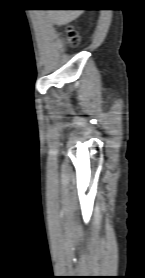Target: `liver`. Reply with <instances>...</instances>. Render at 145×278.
<instances>
[{"label":"liver","instance_id":"obj_1","mask_svg":"<svg viewBox=\"0 0 145 278\" xmlns=\"http://www.w3.org/2000/svg\"><path fill=\"white\" fill-rule=\"evenodd\" d=\"M82 12V10H48L46 16L57 26H62L78 18Z\"/></svg>","mask_w":145,"mask_h":278}]
</instances>
